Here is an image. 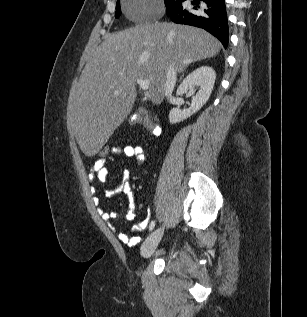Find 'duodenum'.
I'll return each instance as SVG.
<instances>
[{"instance_id": "1", "label": "duodenum", "mask_w": 307, "mask_h": 317, "mask_svg": "<svg viewBox=\"0 0 307 317\" xmlns=\"http://www.w3.org/2000/svg\"><path fill=\"white\" fill-rule=\"evenodd\" d=\"M140 117H141L142 121H153L151 116H150V114L144 109L140 110ZM145 129H146V131L148 132L149 135L153 136L151 134V129L152 128H145Z\"/></svg>"}]
</instances>
